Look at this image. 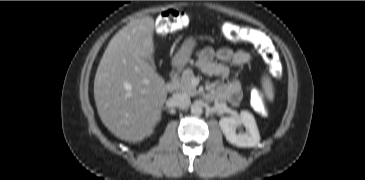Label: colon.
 I'll list each match as a JSON object with an SVG mask.
<instances>
[{
  "mask_svg": "<svg viewBox=\"0 0 365 180\" xmlns=\"http://www.w3.org/2000/svg\"><path fill=\"white\" fill-rule=\"evenodd\" d=\"M189 16L187 13L177 9H168L161 13L160 19L156 22L155 31L158 35L166 36L182 31L189 25ZM253 31L246 27L229 26L226 38L232 43L248 42L253 37ZM265 57L269 60L273 69V76L280 77L281 69L278 62L274 60L273 54L264 51ZM262 102V97L260 96Z\"/></svg>",
  "mask_w": 365,
  "mask_h": 180,
  "instance_id": "5ec220e1",
  "label": "colon"
}]
</instances>
